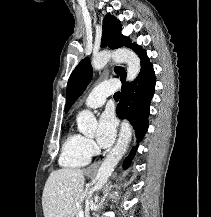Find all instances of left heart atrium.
<instances>
[{
	"label": "left heart atrium",
	"mask_w": 211,
	"mask_h": 217,
	"mask_svg": "<svg viewBox=\"0 0 211 217\" xmlns=\"http://www.w3.org/2000/svg\"><path fill=\"white\" fill-rule=\"evenodd\" d=\"M116 136V123L110 112L104 113L98 124L97 142L102 148H108L112 145Z\"/></svg>",
	"instance_id": "1"
}]
</instances>
